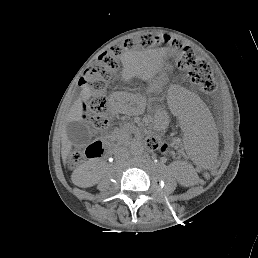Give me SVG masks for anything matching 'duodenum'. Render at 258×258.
<instances>
[{
  "instance_id": "1",
  "label": "duodenum",
  "mask_w": 258,
  "mask_h": 258,
  "mask_svg": "<svg viewBox=\"0 0 258 258\" xmlns=\"http://www.w3.org/2000/svg\"><path fill=\"white\" fill-rule=\"evenodd\" d=\"M86 154L90 158L100 157V155H101V147L100 146L90 147L87 150Z\"/></svg>"
}]
</instances>
